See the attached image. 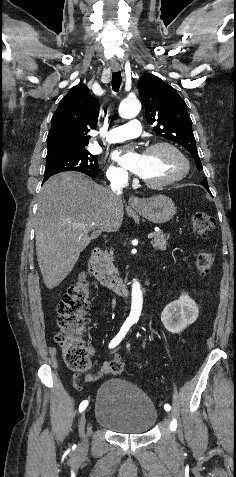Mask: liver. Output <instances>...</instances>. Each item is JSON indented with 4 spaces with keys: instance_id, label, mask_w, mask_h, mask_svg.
Masks as SVG:
<instances>
[{
    "instance_id": "6515ba94",
    "label": "liver",
    "mask_w": 236,
    "mask_h": 477,
    "mask_svg": "<svg viewBox=\"0 0 236 477\" xmlns=\"http://www.w3.org/2000/svg\"><path fill=\"white\" fill-rule=\"evenodd\" d=\"M123 215L121 198L114 201L109 188L83 174L64 172L48 179L39 194L35 231L37 261L46 287L58 286L90 242L103 231L117 230Z\"/></svg>"
}]
</instances>
